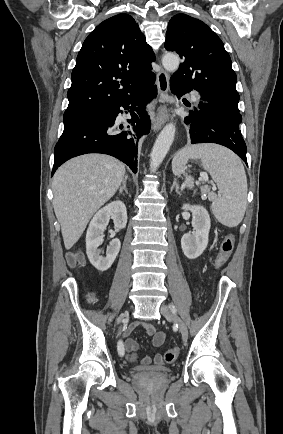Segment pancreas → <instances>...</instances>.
<instances>
[{"mask_svg":"<svg viewBox=\"0 0 283 434\" xmlns=\"http://www.w3.org/2000/svg\"><path fill=\"white\" fill-rule=\"evenodd\" d=\"M201 192H202V199L203 200H205V199H207V196L206 195H208V198H211L212 197V192H211V190H210V188L209 187H201Z\"/></svg>","mask_w":283,"mask_h":434,"instance_id":"1","label":"pancreas"}]
</instances>
